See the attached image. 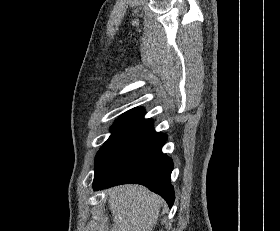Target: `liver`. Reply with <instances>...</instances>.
Returning <instances> with one entry per match:
<instances>
[{
    "mask_svg": "<svg viewBox=\"0 0 280 231\" xmlns=\"http://www.w3.org/2000/svg\"><path fill=\"white\" fill-rule=\"evenodd\" d=\"M112 231H152L164 199L143 185H117L109 189ZM104 231L103 227H96Z\"/></svg>",
    "mask_w": 280,
    "mask_h": 231,
    "instance_id": "6515ba94",
    "label": "liver"
}]
</instances>
